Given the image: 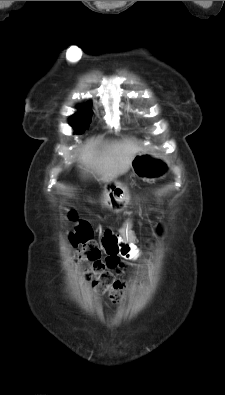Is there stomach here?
I'll list each match as a JSON object with an SVG mask.
<instances>
[{
	"label": "stomach",
	"instance_id": "0dacf381",
	"mask_svg": "<svg viewBox=\"0 0 225 395\" xmlns=\"http://www.w3.org/2000/svg\"><path fill=\"white\" fill-rule=\"evenodd\" d=\"M133 174L142 180L155 181L167 172L163 160L150 154L139 153L131 162ZM105 204L113 211H120L126 204L128 196L126 189L118 182H110L105 186Z\"/></svg>",
	"mask_w": 225,
	"mask_h": 395
}]
</instances>
